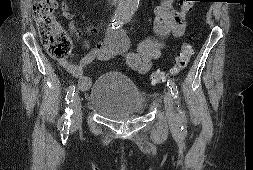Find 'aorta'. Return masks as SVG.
I'll return each mask as SVG.
<instances>
[{
	"instance_id": "obj_1",
	"label": "aorta",
	"mask_w": 253,
	"mask_h": 170,
	"mask_svg": "<svg viewBox=\"0 0 253 170\" xmlns=\"http://www.w3.org/2000/svg\"><path fill=\"white\" fill-rule=\"evenodd\" d=\"M140 0H119L117 15L120 18L130 17L138 8Z\"/></svg>"
}]
</instances>
